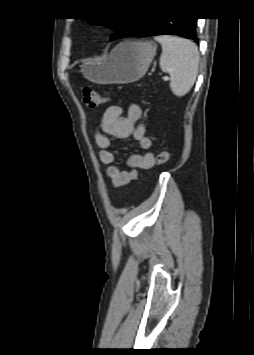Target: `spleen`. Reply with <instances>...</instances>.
<instances>
[{
  "mask_svg": "<svg viewBox=\"0 0 254 355\" xmlns=\"http://www.w3.org/2000/svg\"><path fill=\"white\" fill-rule=\"evenodd\" d=\"M162 45L160 68L170 74V89L182 97L193 87L198 74L199 51L195 43L176 36H156Z\"/></svg>",
  "mask_w": 254,
  "mask_h": 355,
  "instance_id": "3e777b00",
  "label": "spleen"
}]
</instances>
